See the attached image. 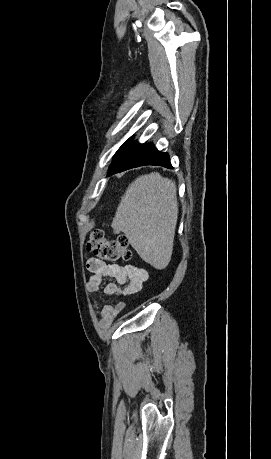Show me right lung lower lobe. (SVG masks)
I'll return each instance as SVG.
<instances>
[{"instance_id":"1","label":"right lung lower lobe","mask_w":271,"mask_h":459,"mask_svg":"<svg viewBox=\"0 0 271 459\" xmlns=\"http://www.w3.org/2000/svg\"><path fill=\"white\" fill-rule=\"evenodd\" d=\"M144 165H159L172 168L169 155L159 152L153 144L130 143L112 162L108 175Z\"/></svg>"}]
</instances>
